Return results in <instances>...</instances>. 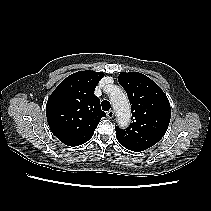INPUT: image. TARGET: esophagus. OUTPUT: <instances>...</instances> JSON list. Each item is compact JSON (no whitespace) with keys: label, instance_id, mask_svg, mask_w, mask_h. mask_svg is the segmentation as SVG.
<instances>
[{"label":"esophagus","instance_id":"1","mask_svg":"<svg viewBox=\"0 0 211 211\" xmlns=\"http://www.w3.org/2000/svg\"><path fill=\"white\" fill-rule=\"evenodd\" d=\"M107 116H108V118L112 119L114 117V111L113 110H109L107 112Z\"/></svg>","mask_w":211,"mask_h":211}]
</instances>
